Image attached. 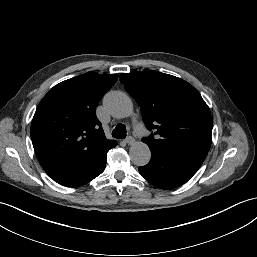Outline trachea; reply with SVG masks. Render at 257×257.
Listing matches in <instances>:
<instances>
[{"label": "trachea", "instance_id": "3493384b", "mask_svg": "<svg viewBox=\"0 0 257 257\" xmlns=\"http://www.w3.org/2000/svg\"><path fill=\"white\" fill-rule=\"evenodd\" d=\"M112 136L117 139L126 138V127L123 124H118L115 129L112 131Z\"/></svg>", "mask_w": 257, "mask_h": 257}]
</instances>
